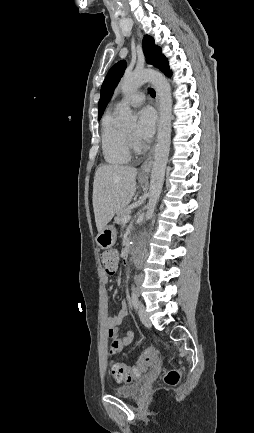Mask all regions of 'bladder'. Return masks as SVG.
<instances>
[{"instance_id":"1","label":"bladder","mask_w":254,"mask_h":433,"mask_svg":"<svg viewBox=\"0 0 254 433\" xmlns=\"http://www.w3.org/2000/svg\"><path fill=\"white\" fill-rule=\"evenodd\" d=\"M139 389H140V383L135 382L132 384L116 387L113 389V393L119 397L133 398L138 394Z\"/></svg>"}]
</instances>
